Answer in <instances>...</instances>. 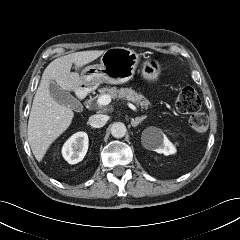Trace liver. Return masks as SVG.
<instances>
[{
    "mask_svg": "<svg viewBox=\"0 0 240 240\" xmlns=\"http://www.w3.org/2000/svg\"><path fill=\"white\" fill-rule=\"evenodd\" d=\"M103 50L75 52L53 60L44 70L33 99L28 121V142L35 158L40 162L50 145L70 126L73 111L57 101L49 92L50 81L66 91H76L84 82L77 72L71 73L72 64L76 70L96 60Z\"/></svg>",
    "mask_w": 240,
    "mask_h": 240,
    "instance_id": "6515ba94",
    "label": "liver"
}]
</instances>
